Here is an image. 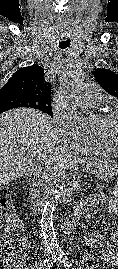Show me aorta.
Returning a JSON list of instances; mask_svg holds the SVG:
<instances>
[{
	"instance_id": "762f6f07",
	"label": "aorta",
	"mask_w": 118,
	"mask_h": 269,
	"mask_svg": "<svg viewBox=\"0 0 118 269\" xmlns=\"http://www.w3.org/2000/svg\"><path fill=\"white\" fill-rule=\"evenodd\" d=\"M83 83V74L77 68L69 69L60 79V92L64 103L72 113L76 121L86 128L93 125L91 114L78 105V98L81 94ZM74 193L71 183H67L52 194L47 200L40 220V228L44 238V242L51 252H59V244L56 232L53 226V214L58 204L69 199Z\"/></svg>"
}]
</instances>
